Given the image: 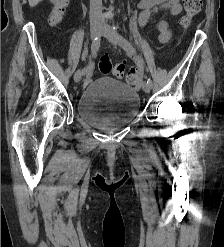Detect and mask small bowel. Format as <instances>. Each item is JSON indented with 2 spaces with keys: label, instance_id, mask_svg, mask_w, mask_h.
<instances>
[{
  "label": "small bowel",
  "instance_id": "small-bowel-1",
  "mask_svg": "<svg viewBox=\"0 0 224 247\" xmlns=\"http://www.w3.org/2000/svg\"><path fill=\"white\" fill-rule=\"evenodd\" d=\"M140 10L138 23L140 26H145L151 17L161 12L167 11L173 16H177L182 11L180 0H141L138 4ZM158 38L161 43L169 41L171 33L166 21H159L157 24ZM124 65V63H121ZM132 72L137 74L136 68H131Z\"/></svg>",
  "mask_w": 224,
  "mask_h": 247
}]
</instances>
